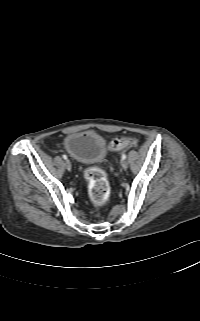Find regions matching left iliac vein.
<instances>
[{
	"label": "left iliac vein",
	"mask_w": 200,
	"mask_h": 321,
	"mask_svg": "<svg viewBox=\"0 0 200 321\" xmlns=\"http://www.w3.org/2000/svg\"><path fill=\"white\" fill-rule=\"evenodd\" d=\"M121 166L124 170H126L128 168V163L125 160H121Z\"/></svg>",
	"instance_id": "obj_1"
}]
</instances>
